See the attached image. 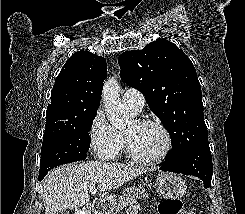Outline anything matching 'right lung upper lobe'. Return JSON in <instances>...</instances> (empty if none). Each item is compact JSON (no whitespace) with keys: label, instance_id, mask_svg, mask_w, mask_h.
Instances as JSON below:
<instances>
[{"label":"right lung upper lobe","instance_id":"right-lung-upper-lobe-1","mask_svg":"<svg viewBox=\"0 0 245 214\" xmlns=\"http://www.w3.org/2000/svg\"><path fill=\"white\" fill-rule=\"evenodd\" d=\"M106 74L104 57L83 50L74 53L55 79L44 135L73 127L85 114L97 111Z\"/></svg>","mask_w":245,"mask_h":214}]
</instances>
